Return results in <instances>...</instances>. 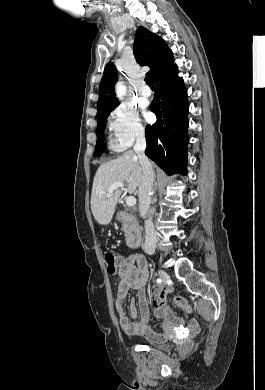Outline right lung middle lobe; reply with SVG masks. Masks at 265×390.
Wrapping results in <instances>:
<instances>
[{
    "label": "right lung middle lobe",
    "mask_w": 265,
    "mask_h": 390,
    "mask_svg": "<svg viewBox=\"0 0 265 390\" xmlns=\"http://www.w3.org/2000/svg\"><path fill=\"white\" fill-rule=\"evenodd\" d=\"M112 110L107 111L106 113L97 118V143L95 147L94 156H98L106 149V144L103 142L104 130L106 127L107 117Z\"/></svg>",
    "instance_id": "dd1d6c3e"
}]
</instances>
